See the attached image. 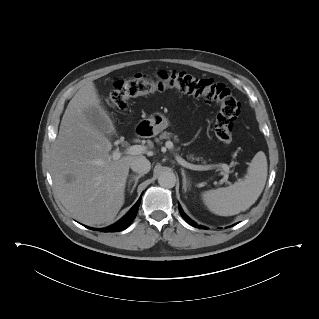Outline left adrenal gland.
Listing matches in <instances>:
<instances>
[{"label": "left adrenal gland", "mask_w": 319, "mask_h": 319, "mask_svg": "<svg viewBox=\"0 0 319 319\" xmlns=\"http://www.w3.org/2000/svg\"><path fill=\"white\" fill-rule=\"evenodd\" d=\"M182 177H183V179H182V181H183V189L186 192L187 188H188V186L190 184V181L187 179L186 174L184 173V170H182Z\"/></svg>", "instance_id": "left-adrenal-gland-1"}]
</instances>
